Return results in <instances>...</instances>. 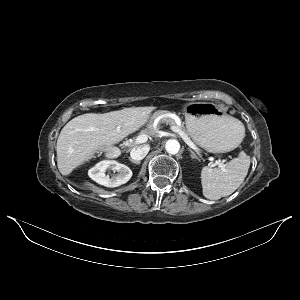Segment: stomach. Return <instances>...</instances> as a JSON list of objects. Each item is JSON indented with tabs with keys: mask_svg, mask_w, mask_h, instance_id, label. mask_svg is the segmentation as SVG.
<instances>
[{
	"mask_svg": "<svg viewBox=\"0 0 300 300\" xmlns=\"http://www.w3.org/2000/svg\"><path fill=\"white\" fill-rule=\"evenodd\" d=\"M161 112L154 113L151 120L160 116ZM184 115L189 135L194 142L210 152H229L235 149L244 137L234 118L214 103H189L184 108Z\"/></svg>",
	"mask_w": 300,
	"mask_h": 300,
	"instance_id": "obj_1",
	"label": "stomach"
}]
</instances>
